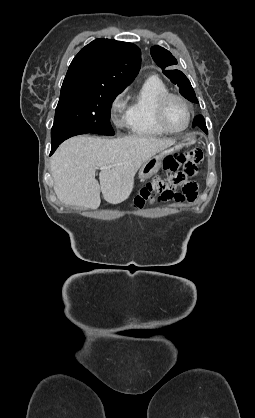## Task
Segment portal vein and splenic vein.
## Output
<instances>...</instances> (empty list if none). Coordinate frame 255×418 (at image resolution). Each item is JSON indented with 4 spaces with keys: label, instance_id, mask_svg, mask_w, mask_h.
<instances>
[{
    "label": "portal vein and splenic vein",
    "instance_id": "18ae733b",
    "mask_svg": "<svg viewBox=\"0 0 255 418\" xmlns=\"http://www.w3.org/2000/svg\"><path fill=\"white\" fill-rule=\"evenodd\" d=\"M107 168H111V166L102 167V168H100V169H107Z\"/></svg>",
    "mask_w": 255,
    "mask_h": 418
}]
</instances>
